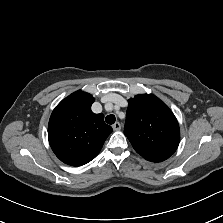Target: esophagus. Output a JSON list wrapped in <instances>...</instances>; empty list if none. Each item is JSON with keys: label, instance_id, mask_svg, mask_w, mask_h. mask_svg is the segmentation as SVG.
<instances>
[{"label": "esophagus", "instance_id": "34e87169", "mask_svg": "<svg viewBox=\"0 0 223 223\" xmlns=\"http://www.w3.org/2000/svg\"><path fill=\"white\" fill-rule=\"evenodd\" d=\"M112 128H113L114 131H118V130L121 129V125H120L119 122H116V123H114V124L112 125Z\"/></svg>", "mask_w": 223, "mask_h": 223}]
</instances>
